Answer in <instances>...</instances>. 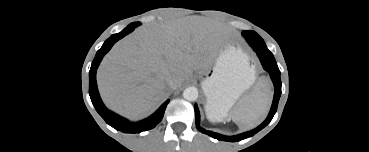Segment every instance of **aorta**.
<instances>
[{"instance_id": "obj_1", "label": "aorta", "mask_w": 369, "mask_h": 152, "mask_svg": "<svg viewBox=\"0 0 369 152\" xmlns=\"http://www.w3.org/2000/svg\"><path fill=\"white\" fill-rule=\"evenodd\" d=\"M183 97L187 101H195L198 98V90L196 87H188L183 91Z\"/></svg>"}]
</instances>
